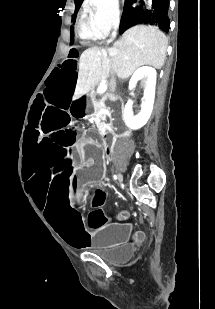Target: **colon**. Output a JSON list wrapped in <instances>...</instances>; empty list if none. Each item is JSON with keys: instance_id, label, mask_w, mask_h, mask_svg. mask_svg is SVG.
I'll return each instance as SVG.
<instances>
[{"instance_id": "obj_1", "label": "colon", "mask_w": 215, "mask_h": 309, "mask_svg": "<svg viewBox=\"0 0 215 309\" xmlns=\"http://www.w3.org/2000/svg\"><path fill=\"white\" fill-rule=\"evenodd\" d=\"M102 218V213L101 212H98L97 214H95L92 218L93 220V223H97L100 219Z\"/></svg>"}]
</instances>
